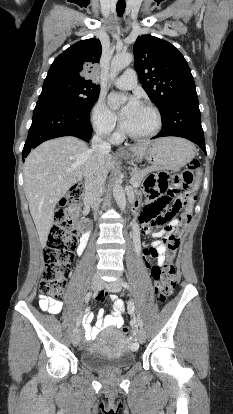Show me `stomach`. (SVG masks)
Masks as SVG:
<instances>
[{
    "label": "stomach",
    "instance_id": "stomach-1",
    "mask_svg": "<svg viewBox=\"0 0 233 414\" xmlns=\"http://www.w3.org/2000/svg\"><path fill=\"white\" fill-rule=\"evenodd\" d=\"M195 153V147L189 141L169 137L151 142L143 158L149 162L152 170H178L189 163ZM123 157L138 159L134 154H125Z\"/></svg>",
    "mask_w": 233,
    "mask_h": 414
}]
</instances>
